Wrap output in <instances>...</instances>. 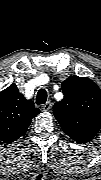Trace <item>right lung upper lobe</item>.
I'll return each instance as SVG.
<instances>
[{
  "label": "right lung upper lobe",
  "mask_w": 101,
  "mask_h": 180,
  "mask_svg": "<svg viewBox=\"0 0 101 180\" xmlns=\"http://www.w3.org/2000/svg\"><path fill=\"white\" fill-rule=\"evenodd\" d=\"M39 113L34 103L26 100L17 86L11 84L0 92V140L11 143L19 139Z\"/></svg>",
  "instance_id": "obj_1"
}]
</instances>
